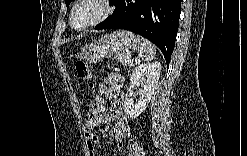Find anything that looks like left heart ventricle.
<instances>
[{
    "label": "left heart ventricle",
    "mask_w": 247,
    "mask_h": 156,
    "mask_svg": "<svg viewBox=\"0 0 247 156\" xmlns=\"http://www.w3.org/2000/svg\"><path fill=\"white\" fill-rule=\"evenodd\" d=\"M103 8L95 2H84L80 4L73 17V22L77 26L85 25L96 19L101 13Z\"/></svg>",
    "instance_id": "obj_1"
}]
</instances>
